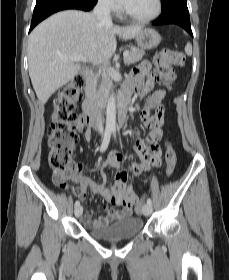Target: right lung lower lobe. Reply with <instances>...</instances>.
Masks as SVG:
<instances>
[{"instance_id": "right-lung-lower-lobe-1", "label": "right lung lower lobe", "mask_w": 229, "mask_h": 280, "mask_svg": "<svg viewBox=\"0 0 229 280\" xmlns=\"http://www.w3.org/2000/svg\"><path fill=\"white\" fill-rule=\"evenodd\" d=\"M96 3L97 0H37L33 12L30 31L39 22L55 12L66 9L90 11Z\"/></svg>"}]
</instances>
